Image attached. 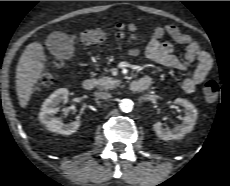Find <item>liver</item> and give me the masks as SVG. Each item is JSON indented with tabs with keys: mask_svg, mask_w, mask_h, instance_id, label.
<instances>
[{
	"mask_svg": "<svg viewBox=\"0 0 230 186\" xmlns=\"http://www.w3.org/2000/svg\"><path fill=\"white\" fill-rule=\"evenodd\" d=\"M46 55L41 43L27 45L16 68V91L19 104L25 108L34 92V86L42 78L45 70Z\"/></svg>",
	"mask_w": 230,
	"mask_h": 186,
	"instance_id": "obj_1",
	"label": "liver"
}]
</instances>
